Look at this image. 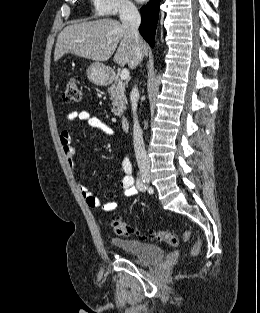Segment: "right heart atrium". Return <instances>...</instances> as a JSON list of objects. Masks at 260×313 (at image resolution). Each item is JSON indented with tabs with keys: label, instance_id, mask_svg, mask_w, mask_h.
<instances>
[{
	"label": "right heart atrium",
	"instance_id": "d8ad5b80",
	"mask_svg": "<svg viewBox=\"0 0 260 313\" xmlns=\"http://www.w3.org/2000/svg\"><path fill=\"white\" fill-rule=\"evenodd\" d=\"M95 14L99 16H114L118 14H132L136 6L131 0H92Z\"/></svg>",
	"mask_w": 260,
	"mask_h": 313
}]
</instances>
